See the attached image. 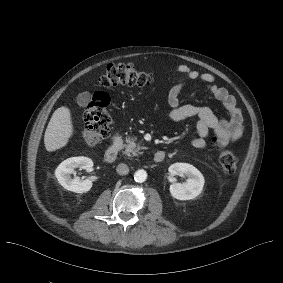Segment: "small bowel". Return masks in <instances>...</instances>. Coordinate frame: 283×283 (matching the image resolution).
Returning <instances> with one entry per match:
<instances>
[{
	"mask_svg": "<svg viewBox=\"0 0 283 283\" xmlns=\"http://www.w3.org/2000/svg\"><path fill=\"white\" fill-rule=\"evenodd\" d=\"M177 71L186 80L201 81L206 89L223 104L227 112L226 118H219L207 106L182 104L180 94L187 81L181 80L175 83L168 92V102L172 107L169 118L173 122H180L189 118L197 119V136L191 140V145L195 148H204L210 132L218 136L222 145L237 141L243 135L244 124L242 113L234 96L226 88L218 86L215 77L210 73H201L185 64L178 65Z\"/></svg>",
	"mask_w": 283,
	"mask_h": 283,
	"instance_id": "c3829d8e",
	"label": "small bowel"
}]
</instances>
